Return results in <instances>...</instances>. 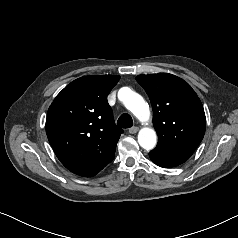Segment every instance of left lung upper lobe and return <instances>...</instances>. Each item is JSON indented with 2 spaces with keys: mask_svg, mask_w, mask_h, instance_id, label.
<instances>
[{
  "mask_svg": "<svg viewBox=\"0 0 238 238\" xmlns=\"http://www.w3.org/2000/svg\"><path fill=\"white\" fill-rule=\"evenodd\" d=\"M136 80L151 101L157 147L191 156L204 137L206 125L195 91L183 79L167 73L139 75Z\"/></svg>",
  "mask_w": 238,
  "mask_h": 238,
  "instance_id": "1",
  "label": "left lung upper lobe"
}]
</instances>
